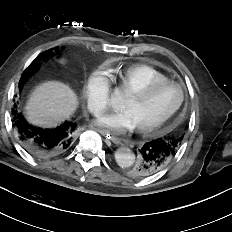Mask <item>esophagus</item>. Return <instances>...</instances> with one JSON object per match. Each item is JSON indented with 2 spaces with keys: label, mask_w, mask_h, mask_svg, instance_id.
I'll list each match as a JSON object with an SVG mask.
<instances>
[{
  "label": "esophagus",
  "mask_w": 232,
  "mask_h": 232,
  "mask_svg": "<svg viewBox=\"0 0 232 232\" xmlns=\"http://www.w3.org/2000/svg\"><path fill=\"white\" fill-rule=\"evenodd\" d=\"M97 132H99L100 134H102L105 138L106 141H111L115 144H119L120 143V139L113 137L110 135V133H108L106 130L100 129V128H94Z\"/></svg>",
  "instance_id": "esophagus-1"
}]
</instances>
